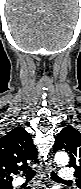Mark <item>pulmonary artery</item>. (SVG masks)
<instances>
[{
  "instance_id": "obj_1",
  "label": "pulmonary artery",
  "mask_w": 81,
  "mask_h": 189,
  "mask_svg": "<svg viewBox=\"0 0 81 189\" xmlns=\"http://www.w3.org/2000/svg\"><path fill=\"white\" fill-rule=\"evenodd\" d=\"M59 176L62 180L64 181H69V180H72L73 179V172L71 169L69 168H62L60 169L59 171ZM24 181L22 179H19L17 182H16V185H21Z\"/></svg>"
}]
</instances>
